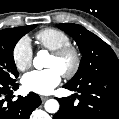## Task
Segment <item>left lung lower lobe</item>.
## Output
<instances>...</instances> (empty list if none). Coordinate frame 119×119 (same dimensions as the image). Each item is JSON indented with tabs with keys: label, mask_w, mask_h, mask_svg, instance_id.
<instances>
[{
	"label": "left lung lower lobe",
	"mask_w": 119,
	"mask_h": 119,
	"mask_svg": "<svg viewBox=\"0 0 119 119\" xmlns=\"http://www.w3.org/2000/svg\"><path fill=\"white\" fill-rule=\"evenodd\" d=\"M79 99L58 98L59 111L53 119H119V76H101L79 85L63 86Z\"/></svg>",
	"instance_id": "left-lung-lower-lobe-1"
}]
</instances>
